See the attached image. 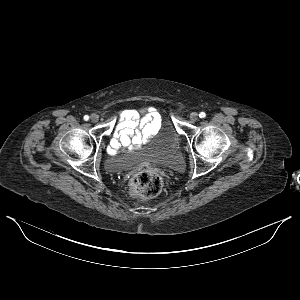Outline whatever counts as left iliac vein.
Here are the masks:
<instances>
[{
    "instance_id": "1",
    "label": "left iliac vein",
    "mask_w": 300,
    "mask_h": 300,
    "mask_svg": "<svg viewBox=\"0 0 300 300\" xmlns=\"http://www.w3.org/2000/svg\"><path fill=\"white\" fill-rule=\"evenodd\" d=\"M190 120L195 122L198 120V114L196 112H192L189 116Z\"/></svg>"
}]
</instances>
